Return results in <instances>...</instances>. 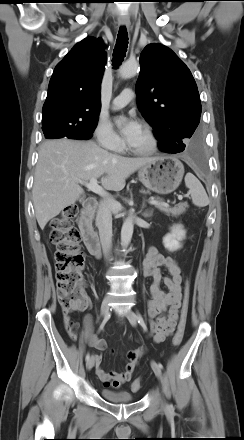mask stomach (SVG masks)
<instances>
[{
    "mask_svg": "<svg viewBox=\"0 0 244 440\" xmlns=\"http://www.w3.org/2000/svg\"><path fill=\"white\" fill-rule=\"evenodd\" d=\"M184 166L176 157L162 155L138 171L139 180L149 190L159 194H169L180 185Z\"/></svg>",
    "mask_w": 244,
    "mask_h": 440,
    "instance_id": "obj_1",
    "label": "stomach"
}]
</instances>
